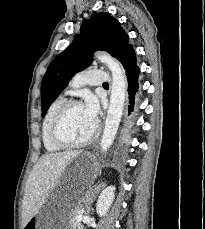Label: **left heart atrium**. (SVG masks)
I'll return each mask as SVG.
<instances>
[{
	"instance_id": "39dd6f15",
	"label": "left heart atrium",
	"mask_w": 205,
	"mask_h": 229,
	"mask_svg": "<svg viewBox=\"0 0 205 229\" xmlns=\"http://www.w3.org/2000/svg\"><path fill=\"white\" fill-rule=\"evenodd\" d=\"M87 114L94 120H97V114L99 111V106L96 98L92 95H88L85 99V103L83 105Z\"/></svg>"
}]
</instances>
